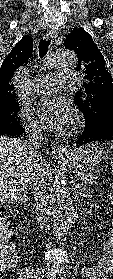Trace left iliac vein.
<instances>
[{
  "label": "left iliac vein",
  "mask_w": 113,
  "mask_h": 279,
  "mask_svg": "<svg viewBox=\"0 0 113 279\" xmlns=\"http://www.w3.org/2000/svg\"><path fill=\"white\" fill-rule=\"evenodd\" d=\"M48 279H56L55 277L53 276H49Z\"/></svg>",
  "instance_id": "obj_1"
}]
</instances>
